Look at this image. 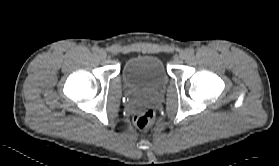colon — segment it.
<instances>
[{
  "instance_id": "5ec220e1",
  "label": "colon",
  "mask_w": 279,
  "mask_h": 166,
  "mask_svg": "<svg viewBox=\"0 0 279 166\" xmlns=\"http://www.w3.org/2000/svg\"><path fill=\"white\" fill-rule=\"evenodd\" d=\"M153 120L154 111L151 108L141 110L134 115V122L141 131L148 129L152 125Z\"/></svg>"
}]
</instances>
